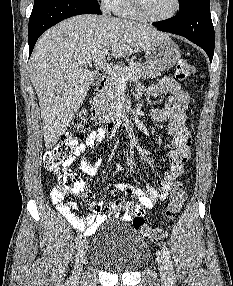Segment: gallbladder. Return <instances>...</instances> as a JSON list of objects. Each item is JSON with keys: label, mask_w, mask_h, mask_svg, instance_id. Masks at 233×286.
<instances>
[{"label": "gallbladder", "mask_w": 233, "mask_h": 286, "mask_svg": "<svg viewBox=\"0 0 233 286\" xmlns=\"http://www.w3.org/2000/svg\"><path fill=\"white\" fill-rule=\"evenodd\" d=\"M94 84H97L98 83V78L97 77H95V79H94Z\"/></svg>", "instance_id": "1"}]
</instances>
